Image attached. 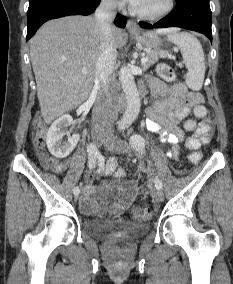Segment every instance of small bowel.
Returning a JSON list of instances; mask_svg holds the SVG:
<instances>
[{
  "label": "small bowel",
  "instance_id": "c3829d8e",
  "mask_svg": "<svg viewBox=\"0 0 233 284\" xmlns=\"http://www.w3.org/2000/svg\"><path fill=\"white\" fill-rule=\"evenodd\" d=\"M150 85L153 93L160 96V100L148 110L146 127L170 144L171 149L167 155L176 158L179 154L180 143L185 138L184 131L179 124L189 115L192 107L202 105L203 97L200 93L189 91L183 84L168 86L157 79H151ZM210 130L211 121L203 120L196 125L192 135L186 139V147L195 150L206 144L209 141ZM46 164L56 173H61L67 168L65 161L54 158L48 159ZM89 188L90 186L87 185V189ZM82 205L89 209L92 204L88 197H85Z\"/></svg>",
  "mask_w": 233,
  "mask_h": 284
}]
</instances>
